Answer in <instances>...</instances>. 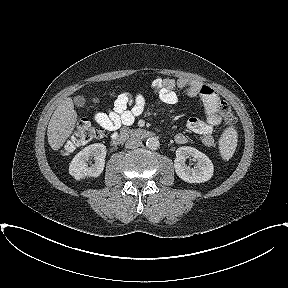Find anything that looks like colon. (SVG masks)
<instances>
[{
    "mask_svg": "<svg viewBox=\"0 0 288 288\" xmlns=\"http://www.w3.org/2000/svg\"><path fill=\"white\" fill-rule=\"evenodd\" d=\"M218 111L229 126H234L235 119L229 105L225 101H220ZM104 136V130L93 125L88 120H80L69 140L65 144V150L70 151L77 146L87 144Z\"/></svg>",
    "mask_w": 288,
    "mask_h": 288,
    "instance_id": "5ec220e1",
    "label": "colon"
}]
</instances>
